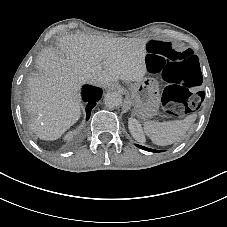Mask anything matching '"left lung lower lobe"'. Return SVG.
<instances>
[{
    "label": "left lung lower lobe",
    "instance_id": "1",
    "mask_svg": "<svg viewBox=\"0 0 227 227\" xmlns=\"http://www.w3.org/2000/svg\"><path fill=\"white\" fill-rule=\"evenodd\" d=\"M137 147L141 148V149H144L146 151H150V152H159L158 150H153V149H149V148H146V147H143V146H140V145H136Z\"/></svg>",
    "mask_w": 227,
    "mask_h": 227
}]
</instances>
